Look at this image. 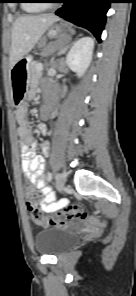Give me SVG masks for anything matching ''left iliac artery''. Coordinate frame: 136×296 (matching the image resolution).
<instances>
[{
	"instance_id": "1",
	"label": "left iliac artery",
	"mask_w": 136,
	"mask_h": 296,
	"mask_svg": "<svg viewBox=\"0 0 136 296\" xmlns=\"http://www.w3.org/2000/svg\"><path fill=\"white\" fill-rule=\"evenodd\" d=\"M51 180H52V174L48 173V181H51Z\"/></svg>"
}]
</instances>
